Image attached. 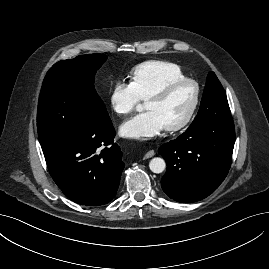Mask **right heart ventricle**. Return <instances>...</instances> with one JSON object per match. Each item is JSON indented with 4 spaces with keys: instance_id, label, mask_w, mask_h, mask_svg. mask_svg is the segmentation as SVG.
Masks as SVG:
<instances>
[{
    "instance_id": "e07e8e85",
    "label": "right heart ventricle",
    "mask_w": 269,
    "mask_h": 269,
    "mask_svg": "<svg viewBox=\"0 0 269 269\" xmlns=\"http://www.w3.org/2000/svg\"><path fill=\"white\" fill-rule=\"evenodd\" d=\"M185 78L181 68L170 62L147 61L131 71L130 83L141 100H146L152 93L170 81Z\"/></svg>"
}]
</instances>
